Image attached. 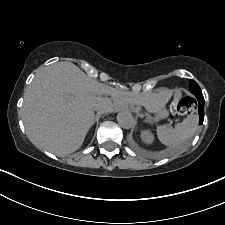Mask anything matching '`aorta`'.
<instances>
[{"instance_id":"762f6f07","label":"aorta","mask_w":225,"mask_h":225,"mask_svg":"<svg viewBox=\"0 0 225 225\" xmlns=\"http://www.w3.org/2000/svg\"><path fill=\"white\" fill-rule=\"evenodd\" d=\"M118 124L124 129H132L135 126V120L128 111H121L117 115Z\"/></svg>"}]
</instances>
